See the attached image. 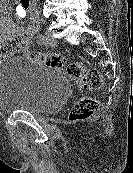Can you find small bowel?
<instances>
[{
  "instance_id": "small-bowel-1",
  "label": "small bowel",
  "mask_w": 133,
  "mask_h": 173,
  "mask_svg": "<svg viewBox=\"0 0 133 173\" xmlns=\"http://www.w3.org/2000/svg\"><path fill=\"white\" fill-rule=\"evenodd\" d=\"M18 10L29 15V24L26 28H22L10 20H0V51L5 49V45L11 40H16L19 43L15 50L6 54H0V59L16 54L29 57V54L32 52L28 46L38 29L39 15L32 7V4H27L24 0L19 1Z\"/></svg>"
}]
</instances>
